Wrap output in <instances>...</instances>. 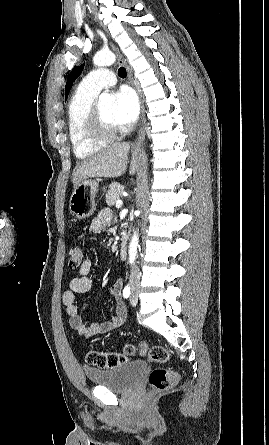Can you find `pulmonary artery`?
<instances>
[{
    "mask_svg": "<svg viewBox=\"0 0 269 445\" xmlns=\"http://www.w3.org/2000/svg\"><path fill=\"white\" fill-rule=\"evenodd\" d=\"M116 83L115 74L106 68H98L88 73L79 87L84 91L97 95L102 89Z\"/></svg>",
    "mask_w": 269,
    "mask_h": 445,
    "instance_id": "e3ab8cb5",
    "label": "pulmonary artery"
}]
</instances>
